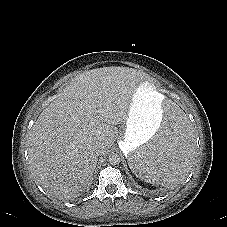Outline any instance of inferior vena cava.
I'll use <instances>...</instances> for the list:
<instances>
[{
    "instance_id": "obj_1",
    "label": "inferior vena cava",
    "mask_w": 227,
    "mask_h": 227,
    "mask_svg": "<svg viewBox=\"0 0 227 227\" xmlns=\"http://www.w3.org/2000/svg\"><path fill=\"white\" fill-rule=\"evenodd\" d=\"M105 150H106V145L101 143V144L97 145V147L95 149V154L97 156H100V155L104 154Z\"/></svg>"
}]
</instances>
